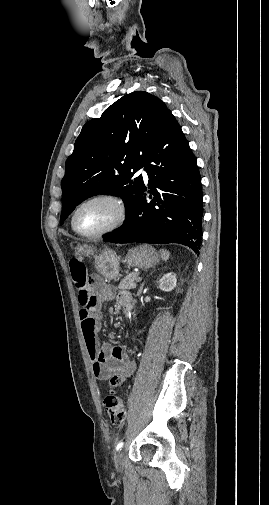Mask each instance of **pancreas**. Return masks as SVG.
<instances>
[{"label": "pancreas", "instance_id": "obj_1", "mask_svg": "<svg viewBox=\"0 0 269 505\" xmlns=\"http://www.w3.org/2000/svg\"><path fill=\"white\" fill-rule=\"evenodd\" d=\"M139 278V273L134 272L129 275H127L124 279L121 280V282L118 285V289L120 290H126V289H134L137 286Z\"/></svg>", "mask_w": 269, "mask_h": 505}]
</instances>
